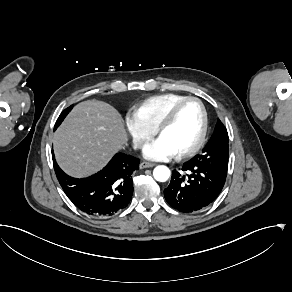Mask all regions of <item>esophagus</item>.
<instances>
[{
    "mask_svg": "<svg viewBox=\"0 0 292 292\" xmlns=\"http://www.w3.org/2000/svg\"><path fill=\"white\" fill-rule=\"evenodd\" d=\"M156 164L154 163H150V162H142L140 164V169H144V168H152L154 167Z\"/></svg>",
    "mask_w": 292,
    "mask_h": 292,
    "instance_id": "obj_1",
    "label": "esophagus"
}]
</instances>
